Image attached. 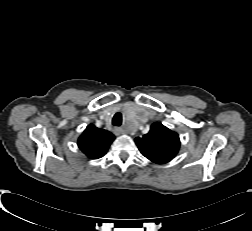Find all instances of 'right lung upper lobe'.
Instances as JSON below:
<instances>
[{
	"label": "right lung upper lobe",
	"instance_id": "obj_1",
	"mask_svg": "<svg viewBox=\"0 0 252 231\" xmlns=\"http://www.w3.org/2000/svg\"><path fill=\"white\" fill-rule=\"evenodd\" d=\"M115 136L107 130L90 124L78 139V147L91 159L102 157L108 150Z\"/></svg>",
	"mask_w": 252,
	"mask_h": 231
}]
</instances>
